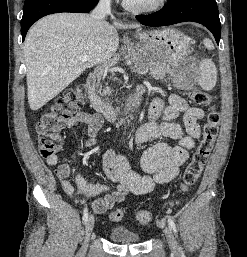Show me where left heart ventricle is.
Here are the masks:
<instances>
[{
  "label": "left heart ventricle",
  "mask_w": 247,
  "mask_h": 257,
  "mask_svg": "<svg viewBox=\"0 0 247 257\" xmlns=\"http://www.w3.org/2000/svg\"><path fill=\"white\" fill-rule=\"evenodd\" d=\"M135 4H149L152 3L155 0H127Z\"/></svg>",
  "instance_id": "1"
}]
</instances>
